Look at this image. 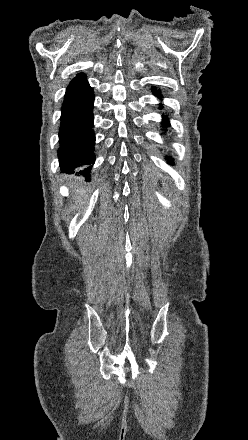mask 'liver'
I'll return each instance as SVG.
<instances>
[{"label": "liver", "instance_id": "obj_1", "mask_svg": "<svg viewBox=\"0 0 248 440\" xmlns=\"http://www.w3.org/2000/svg\"><path fill=\"white\" fill-rule=\"evenodd\" d=\"M76 187H77V192L75 199L79 204L75 206V209H79L85 204V201L87 200V195L85 194L83 188H79L78 185Z\"/></svg>", "mask_w": 248, "mask_h": 440}]
</instances>
